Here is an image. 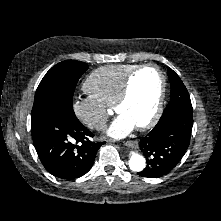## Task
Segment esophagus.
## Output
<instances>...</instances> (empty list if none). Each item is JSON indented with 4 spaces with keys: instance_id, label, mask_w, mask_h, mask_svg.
<instances>
[{
    "instance_id": "1",
    "label": "esophagus",
    "mask_w": 221,
    "mask_h": 221,
    "mask_svg": "<svg viewBox=\"0 0 221 221\" xmlns=\"http://www.w3.org/2000/svg\"><path fill=\"white\" fill-rule=\"evenodd\" d=\"M124 145L127 146V147L136 148L138 146V141L129 140V141L124 142Z\"/></svg>"
}]
</instances>
